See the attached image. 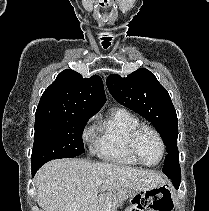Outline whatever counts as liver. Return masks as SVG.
<instances>
[{"label":"liver","instance_id":"liver-1","mask_svg":"<svg viewBox=\"0 0 209 211\" xmlns=\"http://www.w3.org/2000/svg\"><path fill=\"white\" fill-rule=\"evenodd\" d=\"M101 180L102 186L96 181ZM161 174L83 159H59L44 164L36 173L37 203L42 211H101L98 189L119 194L148 191L162 185Z\"/></svg>","mask_w":209,"mask_h":211}]
</instances>
